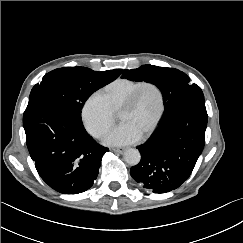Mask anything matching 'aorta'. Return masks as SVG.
Returning <instances> with one entry per match:
<instances>
[{
    "label": "aorta",
    "instance_id": "obj_1",
    "mask_svg": "<svg viewBox=\"0 0 243 243\" xmlns=\"http://www.w3.org/2000/svg\"><path fill=\"white\" fill-rule=\"evenodd\" d=\"M140 159L141 155L137 149L129 148L124 152V160L131 166L137 165Z\"/></svg>",
    "mask_w": 243,
    "mask_h": 243
}]
</instances>
